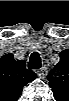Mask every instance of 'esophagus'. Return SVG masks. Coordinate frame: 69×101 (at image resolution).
I'll return each mask as SVG.
<instances>
[{
    "label": "esophagus",
    "mask_w": 69,
    "mask_h": 101,
    "mask_svg": "<svg viewBox=\"0 0 69 101\" xmlns=\"http://www.w3.org/2000/svg\"><path fill=\"white\" fill-rule=\"evenodd\" d=\"M46 74H47V69L46 67H42L41 69H39L37 71V75L40 77V78H45L46 77Z\"/></svg>",
    "instance_id": "obj_1"
}]
</instances>
